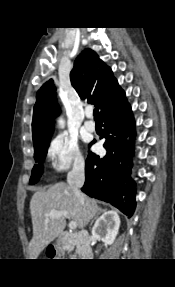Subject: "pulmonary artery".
<instances>
[{
    "label": "pulmonary artery",
    "instance_id": "e3ab8cb5",
    "mask_svg": "<svg viewBox=\"0 0 175 287\" xmlns=\"http://www.w3.org/2000/svg\"><path fill=\"white\" fill-rule=\"evenodd\" d=\"M92 118V111H87L86 112V120L84 122L85 128L90 131L94 132L96 129L95 123L91 120Z\"/></svg>",
    "mask_w": 175,
    "mask_h": 287
}]
</instances>
